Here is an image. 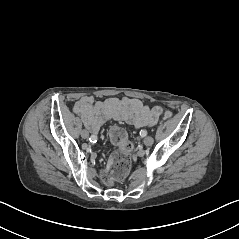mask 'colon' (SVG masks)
I'll list each match as a JSON object with an SVG mask.
<instances>
[{
    "mask_svg": "<svg viewBox=\"0 0 239 239\" xmlns=\"http://www.w3.org/2000/svg\"><path fill=\"white\" fill-rule=\"evenodd\" d=\"M172 117V112L164 111V118ZM111 142L118 150L109 158L108 165L103 173L106 182L119 180L127 175L131 166L132 144L128 139L126 130L118 125L111 126L108 132Z\"/></svg>",
    "mask_w": 239,
    "mask_h": 239,
    "instance_id": "colon-1",
    "label": "colon"
}]
</instances>
